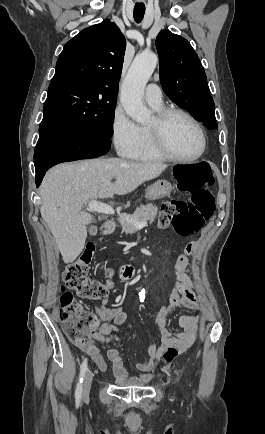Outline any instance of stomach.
Listing matches in <instances>:
<instances>
[{
	"mask_svg": "<svg viewBox=\"0 0 265 434\" xmlns=\"http://www.w3.org/2000/svg\"><path fill=\"white\" fill-rule=\"evenodd\" d=\"M170 192H172V186L170 182H166V180H158L155 184H152L148 190H146L147 200H160V198H165V196H169Z\"/></svg>",
	"mask_w": 265,
	"mask_h": 434,
	"instance_id": "stomach-1",
	"label": "stomach"
}]
</instances>
